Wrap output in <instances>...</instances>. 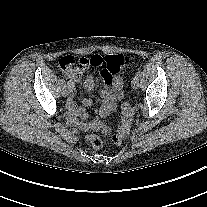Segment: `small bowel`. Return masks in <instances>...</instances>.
<instances>
[{
  "instance_id": "small-bowel-1",
  "label": "small bowel",
  "mask_w": 207,
  "mask_h": 207,
  "mask_svg": "<svg viewBox=\"0 0 207 207\" xmlns=\"http://www.w3.org/2000/svg\"><path fill=\"white\" fill-rule=\"evenodd\" d=\"M102 80L98 114L101 117H107L116 110L118 101L123 97V79L120 76H112L109 79L102 78ZM69 89L73 97L75 95L74 86L70 85ZM92 104L93 100L90 98L84 99L80 107L72 98L67 102L68 116L71 122L81 130H94L101 127V122L98 119H89L86 108Z\"/></svg>"
}]
</instances>
